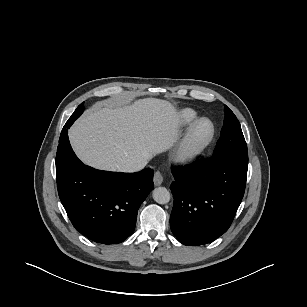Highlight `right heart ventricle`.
Here are the masks:
<instances>
[{
  "mask_svg": "<svg viewBox=\"0 0 307 307\" xmlns=\"http://www.w3.org/2000/svg\"><path fill=\"white\" fill-rule=\"evenodd\" d=\"M198 119L197 113L192 109H183L178 114V123L181 127H187Z\"/></svg>",
  "mask_w": 307,
  "mask_h": 307,
  "instance_id": "right-heart-ventricle-1",
  "label": "right heart ventricle"
}]
</instances>
